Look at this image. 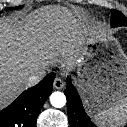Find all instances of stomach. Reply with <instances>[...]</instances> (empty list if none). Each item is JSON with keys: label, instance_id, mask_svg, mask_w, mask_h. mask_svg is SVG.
<instances>
[{"label": "stomach", "instance_id": "1", "mask_svg": "<svg viewBox=\"0 0 127 127\" xmlns=\"http://www.w3.org/2000/svg\"><path fill=\"white\" fill-rule=\"evenodd\" d=\"M77 66V86L90 108L106 110L127 95V56L96 33L85 36Z\"/></svg>", "mask_w": 127, "mask_h": 127}]
</instances>
